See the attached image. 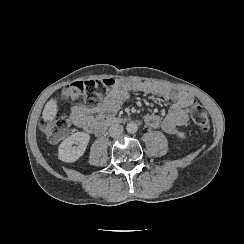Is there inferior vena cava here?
<instances>
[{
	"label": "inferior vena cava",
	"mask_w": 244,
	"mask_h": 244,
	"mask_svg": "<svg viewBox=\"0 0 244 244\" xmlns=\"http://www.w3.org/2000/svg\"><path fill=\"white\" fill-rule=\"evenodd\" d=\"M123 132V126L120 124H113L109 128V134L111 137H117Z\"/></svg>",
	"instance_id": "obj_1"
}]
</instances>
